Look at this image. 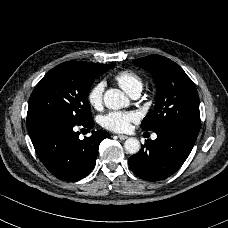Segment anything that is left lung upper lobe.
I'll return each mask as SVG.
<instances>
[{
    "instance_id": "1",
    "label": "left lung upper lobe",
    "mask_w": 228,
    "mask_h": 228,
    "mask_svg": "<svg viewBox=\"0 0 228 228\" xmlns=\"http://www.w3.org/2000/svg\"><path fill=\"white\" fill-rule=\"evenodd\" d=\"M133 63L149 71L156 85V104L142 121V129L155 132L178 129L198 135L200 131L199 97L195 84L172 60L150 55Z\"/></svg>"
}]
</instances>
